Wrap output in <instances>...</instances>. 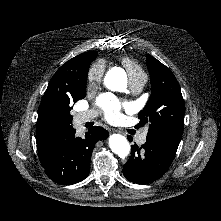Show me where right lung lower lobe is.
Listing matches in <instances>:
<instances>
[{
  "label": "right lung lower lobe",
  "instance_id": "obj_1",
  "mask_svg": "<svg viewBox=\"0 0 221 221\" xmlns=\"http://www.w3.org/2000/svg\"><path fill=\"white\" fill-rule=\"evenodd\" d=\"M70 126L57 137L49 161L43 167L54 182L71 185L84 180L90 172L91 154L99 140H105L109 133L102 127L94 126L84 138L75 136Z\"/></svg>",
  "mask_w": 221,
  "mask_h": 221
}]
</instances>
